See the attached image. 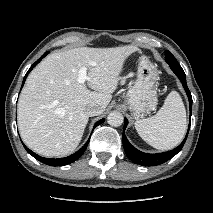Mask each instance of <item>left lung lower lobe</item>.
<instances>
[{
    "label": "left lung lower lobe",
    "mask_w": 213,
    "mask_h": 213,
    "mask_svg": "<svg viewBox=\"0 0 213 213\" xmlns=\"http://www.w3.org/2000/svg\"><path fill=\"white\" fill-rule=\"evenodd\" d=\"M177 76L180 79V81L182 82L183 87H184L186 94L188 96L189 105H190V117H191V110H192V102L193 101H192L191 93H190V91L187 87L186 76L180 75V74H178ZM127 124H128V120L125 119L123 135H122L123 147H124L125 153L128 156V158L130 160H132L135 164H139V165H142V166L160 165V164L165 163L166 161L170 160L172 157H174L177 153H179L181 151L182 147L184 146V143L187 139L189 128H190V124H189V128H188V131H187V134H186L184 140L175 149H173L171 151L163 152V153H158V154H148V153H144V152L137 150L127 140L125 133H124V130H125Z\"/></svg>",
    "instance_id": "1"
}]
</instances>
